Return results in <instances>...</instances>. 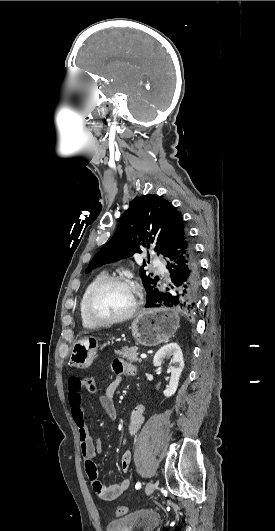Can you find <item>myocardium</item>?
Here are the masks:
<instances>
[{"mask_svg": "<svg viewBox=\"0 0 275 531\" xmlns=\"http://www.w3.org/2000/svg\"><path fill=\"white\" fill-rule=\"evenodd\" d=\"M117 282L127 283L131 285V287L134 290L135 299L133 301V304L130 310L126 314L122 316L114 317V318H103V317L94 315L91 312V308H90L92 299L103 287L109 284H112V283H117ZM140 300H141V291L138 288V286H136L131 281L128 275H109V276L103 277L90 289L83 303V314L87 320H89L90 322L96 325H112V324L120 323V322L130 319L137 311L139 304H140Z\"/></svg>", "mask_w": 275, "mask_h": 531, "instance_id": "f54148a6", "label": "myocardium"}]
</instances>
